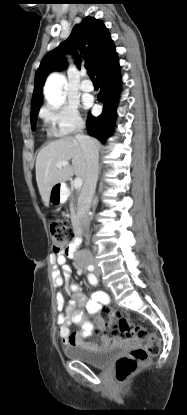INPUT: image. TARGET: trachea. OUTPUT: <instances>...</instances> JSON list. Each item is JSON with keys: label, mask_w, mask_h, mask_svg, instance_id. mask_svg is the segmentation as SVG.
<instances>
[{"label": "trachea", "mask_w": 187, "mask_h": 415, "mask_svg": "<svg viewBox=\"0 0 187 415\" xmlns=\"http://www.w3.org/2000/svg\"><path fill=\"white\" fill-rule=\"evenodd\" d=\"M87 73H88L89 77L92 79V81H96L95 77L93 76V74L90 71H88Z\"/></svg>", "instance_id": "1"}]
</instances>
